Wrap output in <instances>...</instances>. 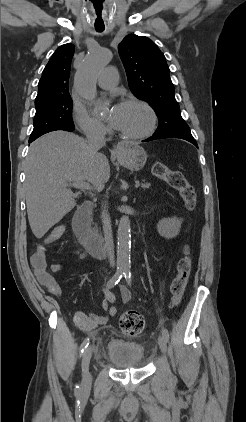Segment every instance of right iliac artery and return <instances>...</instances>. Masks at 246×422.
<instances>
[{
  "instance_id": "1",
  "label": "right iliac artery",
  "mask_w": 246,
  "mask_h": 422,
  "mask_svg": "<svg viewBox=\"0 0 246 422\" xmlns=\"http://www.w3.org/2000/svg\"><path fill=\"white\" fill-rule=\"evenodd\" d=\"M123 275H124V270L118 269L115 275L107 282L106 289H110L113 286H115L121 280ZM88 345H89V337L85 338L84 341L82 342L80 346V355H83ZM76 389H79L78 385L76 386Z\"/></svg>"
}]
</instances>
